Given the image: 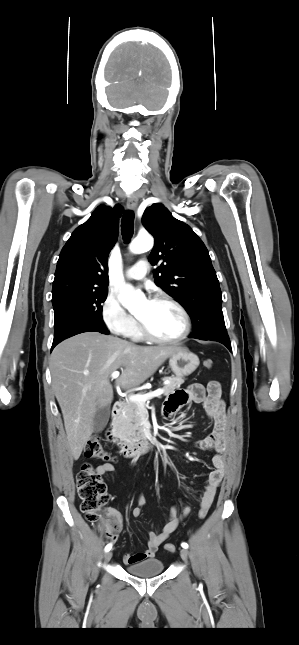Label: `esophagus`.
Segmentation results:
<instances>
[{
	"label": "esophagus",
	"mask_w": 299,
	"mask_h": 645,
	"mask_svg": "<svg viewBox=\"0 0 299 645\" xmlns=\"http://www.w3.org/2000/svg\"><path fill=\"white\" fill-rule=\"evenodd\" d=\"M138 206V199L136 196H130L127 200V208L129 210H135Z\"/></svg>",
	"instance_id": "obj_1"
}]
</instances>
